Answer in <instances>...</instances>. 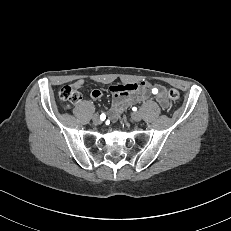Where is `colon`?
<instances>
[{
  "label": "colon",
  "instance_id": "1",
  "mask_svg": "<svg viewBox=\"0 0 231 231\" xmlns=\"http://www.w3.org/2000/svg\"><path fill=\"white\" fill-rule=\"evenodd\" d=\"M59 96L68 106L77 104L82 99L81 93L73 86L63 87L60 90ZM167 96L172 102H177L180 99V94L176 89H169Z\"/></svg>",
  "mask_w": 231,
  "mask_h": 231
}]
</instances>
